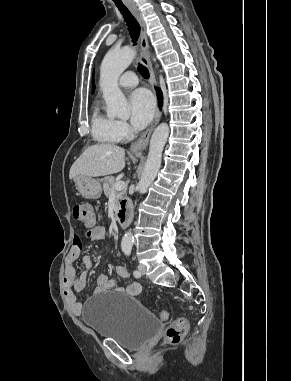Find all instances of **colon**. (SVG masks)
I'll return each instance as SVG.
<instances>
[{
  "mask_svg": "<svg viewBox=\"0 0 291 381\" xmlns=\"http://www.w3.org/2000/svg\"><path fill=\"white\" fill-rule=\"evenodd\" d=\"M72 215L74 219L85 229H92L95 225V212L88 204H76L73 206ZM169 312L162 310L159 313L160 320H167ZM188 329L187 320L176 319L165 332V343L169 345L179 344Z\"/></svg>",
  "mask_w": 291,
  "mask_h": 381,
  "instance_id": "5ec220e1",
  "label": "colon"
}]
</instances>
